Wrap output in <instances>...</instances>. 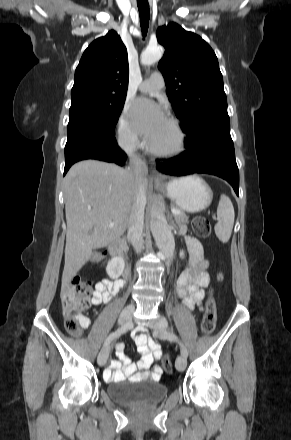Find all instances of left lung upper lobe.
Segmentation results:
<instances>
[{"label": "left lung upper lobe", "instance_id": "5c2ea615", "mask_svg": "<svg viewBox=\"0 0 291 440\" xmlns=\"http://www.w3.org/2000/svg\"><path fill=\"white\" fill-rule=\"evenodd\" d=\"M156 35L165 47L158 68L187 138L208 125L229 122L223 77L209 44L176 23L159 27Z\"/></svg>", "mask_w": 291, "mask_h": 440}]
</instances>
